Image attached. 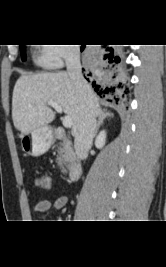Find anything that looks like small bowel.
I'll list each match as a JSON object with an SVG mask.
<instances>
[{
  "mask_svg": "<svg viewBox=\"0 0 166 267\" xmlns=\"http://www.w3.org/2000/svg\"><path fill=\"white\" fill-rule=\"evenodd\" d=\"M68 202V198L65 195L57 196L54 200H42L35 206V211L39 213L47 212L51 208L60 210L65 207Z\"/></svg>",
  "mask_w": 166,
  "mask_h": 267,
  "instance_id": "obj_1",
  "label": "small bowel"
}]
</instances>
